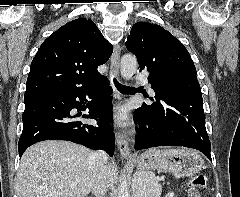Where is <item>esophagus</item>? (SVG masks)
<instances>
[{
  "instance_id": "obj_1",
  "label": "esophagus",
  "mask_w": 240,
  "mask_h": 197,
  "mask_svg": "<svg viewBox=\"0 0 240 197\" xmlns=\"http://www.w3.org/2000/svg\"><path fill=\"white\" fill-rule=\"evenodd\" d=\"M121 55V46L117 44L114 47L113 54L110 59V78L118 77L119 75V62ZM115 98L120 99V94L115 90ZM116 142L118 145V149L121 155L129 160L135 159L136 157L130 152L129 142L127 140V136L124 132L117 131L116 132Z\"/></svg>"
}]
</instances>
